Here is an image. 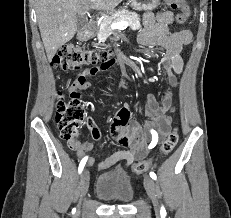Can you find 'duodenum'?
I'll return each instance as SVG.
<instances>
[{
  "label": "duodenum",
  "instance_id": "1",
  "mask_svg": "<svg viewBox=\"0 0 231 218\" xmlns=\"http://www.w3.org/2000/svg\"><path fill=\"white\" fill-rule=\"evenodd\" d=\"M94 28H95L94 23L92 22L87 23L83 31L80 34V38L81 39L89 38L92 35Z\"/></svg>",
  "mask_w": 231,
  "mask_h": 218
}]
</instances>
